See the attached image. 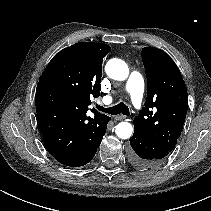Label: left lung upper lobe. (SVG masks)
I'll use <instances>...</instances> for the list:
<instances>
[{"mask_svg": "<svg viewBox=\"0 0 211 211\" xmlns=\"http://www.w3.org/2000/svg\"><path fill=\"white\" fill-rule=\"evenodd\" d=\"M148 91L145 106L134 118V129L172 151L188 109L182 75L172 58L155 47L142 49Z\"/></svg>", "mask_w": 211, "mask_h": 211, "instance_id": "obj_1", "label": "left lung upper lobe"}]
</instances>
